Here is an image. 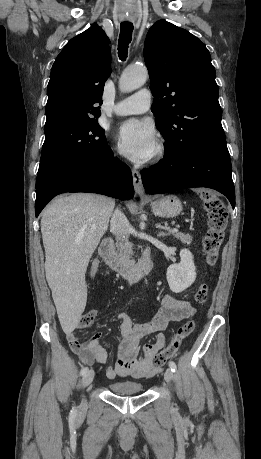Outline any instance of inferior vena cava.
<instances>
[{
    "label": "inferior vena cava",
    "mask_w": 261,
    "mask_h": 459,
    "mask_svg": "<svg viewBox=\"0 0 261 459\" xmlns=\"http://www.w3.org/2000/svg\"><path fill=\"white\" fill-rule=\"evenodd\" d=\"M111 231L119 238L127 240L129 234V222L125 215L118 209L112 214L110 221Z\"/></svg>",
    "instance_id": "1"
}]
</instances>
